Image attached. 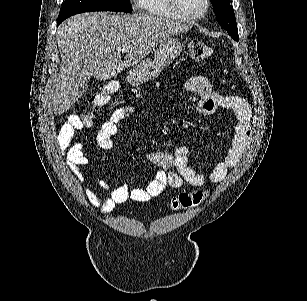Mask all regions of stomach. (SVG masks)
Masks as SVG:
<instances>
[{"label": "stomach", "mask_w": 307, "mask_h": 301, "mask_svg": "<svg viewBox=\"0 0 307 301\" xmlns=\"http://www.w3.org/2000/svg\"><path fill=\"white\" fill-rule=\"evenodd\" d=\"M183 50L182 42L177 38H167L157 44L153 58H145L139 64L130 68L127 74V82L132 86H139L148 80H154L159 76L165 66L171 64Z\"/></svg>", "instance_id": "1"}]
</instances>
